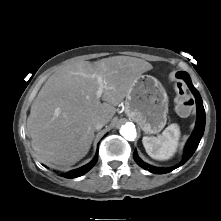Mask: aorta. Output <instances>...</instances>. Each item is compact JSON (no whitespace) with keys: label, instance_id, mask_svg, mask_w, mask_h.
Here are the masks:
<instances>
[{"label":"aorta","instance_id":"obj_1","mask_svg":"<svg viewBox=\"0 0 221 221\" xmlns=\"http://www.w3.org/2000/svg\"><path fill=\"white\" fill-rule=\"evenodd\" d=\"M120 134L128 141H133L136 138V128L133 123H126L120 129Z\"/></svg>","mask_w":221,"mask_h":221}]
</instances>
